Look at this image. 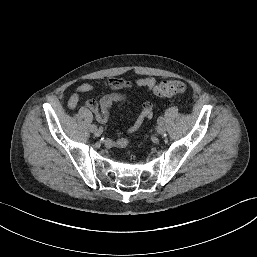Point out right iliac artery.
<instances>
[{
	"label": "right iliac artery",
	"mask_w": 257,
	"mask_h": 257,
	"mask_svg": "<svg viewBox=\"0 0 257 257\" xmlns=\"http://www.w3.org/2000/svg\"><path fill=\"white\" fill-rule=\"evenodd\" d=\"M95 129H97V126L93 124V125L91 126V130L94 131Z\"/></svg>",
	"instance_id": "obj_1"
}]
</instances>
